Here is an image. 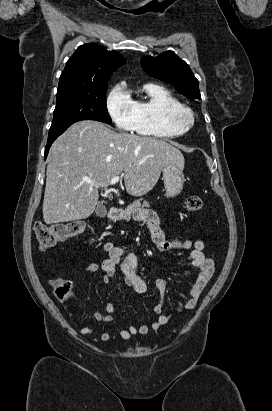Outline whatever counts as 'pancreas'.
Returning a JSON list of instances; mask_svg holds the SVG:
<instances>
[{
    "mask_svg": "<svg viewBox=\"0 0 272 411\" xmlns=\"http://www.w3.org/2000/svg\"><path fill=\"white\" fill-rule=\"evenodd\" d=\"M142 199L134 201L132 204L127 206L123 212L122 219L130 220L131 216L134 215L137 211L144 209V207H149V203L144 201L141 205Z\"/></svg>",
    "mask_w": 272,
    "mask_h": 411,
    "instance_id": "pancreas-1",
    "label": "pancreas"
}]
</instances>
